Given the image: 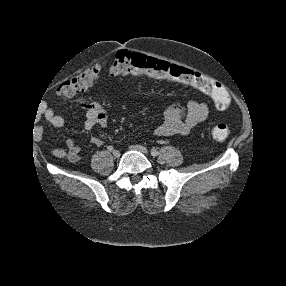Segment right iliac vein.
<instances>
[{
  "instance_id": "63e3f726",
  "label": "right iliac vein",
  "mask_w": 286,
  "mask_h": 286,
  "mask_svg": "<svg viewBox=\"0 0 286 286\" xmlns=\"http://www.w3.org/2000/svg\"><path fill=\"white\" fill-rule=\"evenodd\" d=\"M112 154L115 158H118L120 156V152L118 150H114Z\"/></svg>"
}]
</instances>
